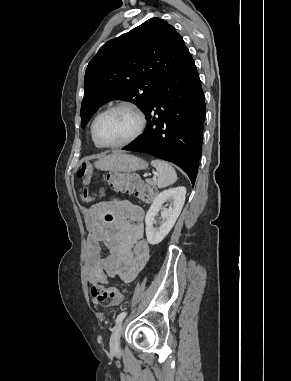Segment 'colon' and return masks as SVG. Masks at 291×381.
Returning <instances> with one entry per match:
<instances>
[{
	"label": "colon",
	"mask_w": 291,
	"mask_h": 381,
	"mask_svg": "<svg viewBox=\"0 0 291 381\" xmlns=\"http://www.w3.org/2000/svg\"><path fill=\"white\" fill-rule=\"evenodd\" d=\"M85 173L86 167L82 166L77 170V177L83 178ZM106 181L115 190L131 193L142 202H151L156 193L152 185L124 173H112L107 176ZM83 196L87 197V193L84 192ZM106 220L110 221L111 216L107 215ZM91 294L98 301H108L111 305H117L122 301V294L116 287L95 284Z\"/></svg>",
	"instance_id": "colon-1"
}]
</instances>
